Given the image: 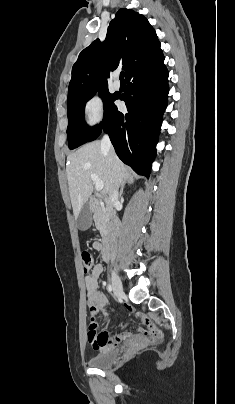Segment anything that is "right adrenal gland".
<instances>
[{
	"mask_svg": "<svg viewBox=\"0 0 235 404\" xmlns=\"http://www.w3.org/2000/svg\"><path fill=\"white\" fill-rule=\"evenodd\" d=\"M125 184H134V177L133 176H129L122 184L121 190H120V197L123 194V190L125 187Z\"/></svg>",
	"mask_w": 235,
	"mask_h": 404,
	"instance_id": "1",
	"label": "right adrenal gland"
}]
</instances>
